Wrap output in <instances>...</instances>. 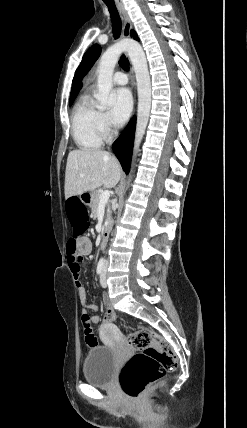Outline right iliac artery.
Listing matches in <instances>:
<instances>
[{
    "instance_id": "obj_1",
    "label": "right iliac artery",
    "mask_w": 247,
    "mask_h": 428,
    "mask_svg": "<svg viewBox=\"0 0 247 428\" xmlns=\"http://www.w3.org/2000/svg\"><path fill=\"white\" fill-rule=\"evenodd\" d=\"M104 269V260L101 258L97 265V274L101 275Z\"/></svg>"
}]
</instances>
